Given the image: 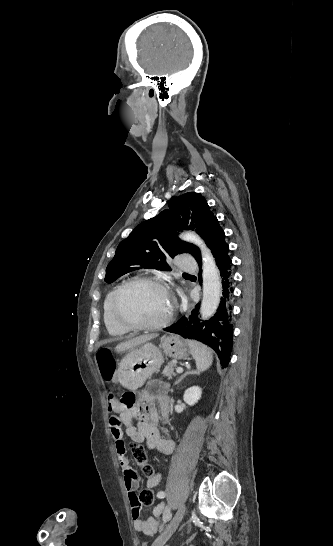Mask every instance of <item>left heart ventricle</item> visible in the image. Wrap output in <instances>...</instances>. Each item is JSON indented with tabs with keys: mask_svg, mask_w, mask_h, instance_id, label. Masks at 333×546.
<instances>
[{
	"mask_svg": "<svg viewBox=\"0 0 333 546\" xmlns=\"http://www.w3.org/2000/svg\"><path fill=\"white\" fill-rule=\"evenodd\" d=\"M121 312L139 323H156L163 320L171 308V298L162 288L138 283L127 288L121 298Z\"/></svg>",
	"mask_w": 333,
	"mask_h": 546,
	"instance_id": "1",
	"label": "left heart ventricle"
}]
</instances>
